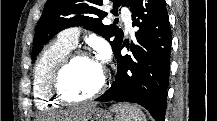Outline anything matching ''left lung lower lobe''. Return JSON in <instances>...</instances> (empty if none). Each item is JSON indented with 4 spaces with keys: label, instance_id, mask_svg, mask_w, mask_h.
<instances>
[{
    "label": "left lung lower lobe",
    "instance_id": "1",
    "mask_svg": "<svg viewBox=\"0 0 217 121\" xmlns=\"http://www.w3.org/2000/svg\"><path fill=\"white\" fill-rule=\"evenodd\" d=\"M132 25L137 26L131 55H121L122 41L114 55L118 68L111 87L96 101L137 103L156 121H164L171 54V29L165 0H132Z\"/></svg>",
    "mask_w": 217,
    "mask_h": 121
}]
</instances>
